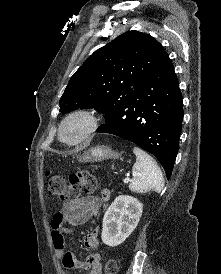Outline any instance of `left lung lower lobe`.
Instances as JSON below:
<instances>
[{"label":"left lung lower lobe","mask_w":221,"mask_h":274,"mask_svg":"<svg viewBox=\"0 0 221 274\" xmlns=\"http://www.w3.org/2000/svg\"><path fill=\"white\" fill-rule=\"evenodd\" d=\"M183 121L182 94L167 56L126 104L105 116L97 131L117 135L152 153L169 179Z\"/></svg>","instance_id":"obj_1"}]
</instances>
